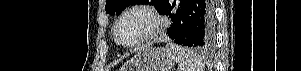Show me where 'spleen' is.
<instances>
[{"label":"spleen","instance_id":"1","mask_svg":"<svg viewBox=\"0 0 301 71\" xmlns=\"http://www.w3.org/2000/svg\"><path fill=\"white\" fill-rule=\"evenodd\" d=\"M166 50L178 64V71H203L204 63L197 53L173 43L166 44Z\"/></svg>","mask_w":301,"mask_h":71}]
</instances>
